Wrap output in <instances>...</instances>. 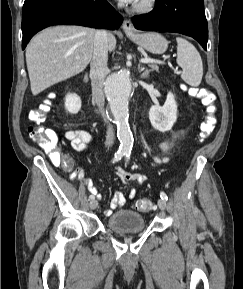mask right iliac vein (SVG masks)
<instances>
[{"instance_id": "1", "label": "right iliac vein", "mask_w": 243, "mask_h": 289, "mask_svg": "<svg viewBox=\"0 0 243 289\" xmlns=\"http://www.w3.org/2000/svg\"><path fill=\"white\" fill-rule=\"evenodd\" d=\"M90 208L92 209V210H94V209H96L97 208V206H98V201L97 200H95V199H92L91 201H90Z\"/></svg>"}]
</instances>
